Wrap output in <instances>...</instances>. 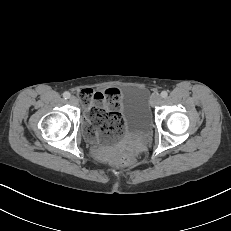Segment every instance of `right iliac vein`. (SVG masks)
<instances>
[{
  "instance_id": "right-iliac-vein-1",
  "label": "right iliac vein",
  "mask_w": 231,
  "mask_h": 231,
  "mask_svg": "<svg viewBox=\"0 0 231 231\" xmlns=\"http://www.w3.org/2000/svg\"><path fill=\"white\" fill-rule=\"evenodd\" d=\"M69 101L72 105L78 104V99L75 96H72Z\"/></svg>"
}]
</instances>
